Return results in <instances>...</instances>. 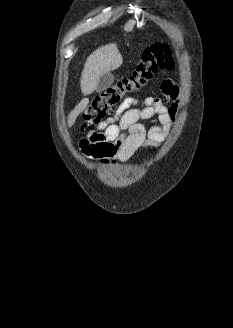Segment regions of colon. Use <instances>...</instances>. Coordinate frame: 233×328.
Listing matches in <instances>:
<instances>
[{
	"instance_id": "5ec220e1",
	"label": "colon",
	"mask_w": 233,
	"mask_h": 328,
	"mask_svg": "<svg viewBox=\"0 0 233 328\" xmlns=\"http://www.w3.org/2000/svg\"><path fill=\"white\" fill-rule=\"evenodd\" d=\"M174 58L167 44L155 43L147 46L141 53L134 71L122 78L107 90L95 96L86 108L83 118L84 128L91 130L112 113L128 93L137 91L147 85L161 70L174 67Z\"/></svg>"
}]
</instances>
